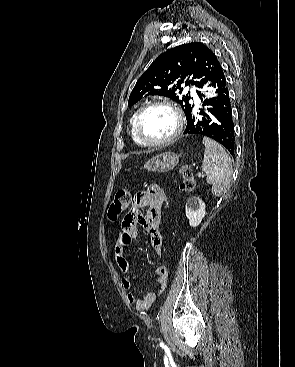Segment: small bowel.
I'll return each mask as SVG.
<instances>
[{"label": "small bowel", "mask_w": 295, "mask_h": 367, "mask_svg": "<svg viewBox=\"0 0 295 367\" xmlns=\"http://www.w3.org/2000/svg\"><path fill=\"white\" fill-rule=\"evenodd\" d=\"M165 195L163 189L158 185H151L147 190L137 193L132 202V210L125 216L117 240L114 246V255L118 268L127 273L130 265L125 256L126 238L133 239L137 235L138 226H141L149 235L151 244L158 255L162 254L163 238L160 231L162 217V202ZM145 208L146 213L141 210ZM157 276L153 288L144 294L138 295L134 292L127 294L130 304L135 305L140 312L149 310L157 299L155 289L161 294L167 286L168 270L160 265L155 269ZM125 290H129L131 282L124 277L121 280Z\"/></svg>", "instance_id": "small-bowel-1"}]
</instances>
